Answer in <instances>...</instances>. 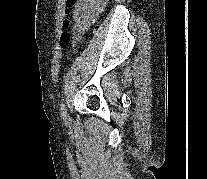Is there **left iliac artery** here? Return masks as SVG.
<instances>
[{
    "label": "left iliac artery",
    "instance_id": "obj_1",
    "mask_svg": "<svg viewBox=\"0 0 207 179\" xmlns=\"http://www.w3.org/2000/svg\"><path fill=\"white\" fill-rule=\"evenodd\" d=\"M60 111H61V115H62L63 119H67V117H68L67 110H66L65 105L63 103L60 105Z\"/></svg>",
    "mask_w": 207,
    "mask_h": 179
}]
</instances>
